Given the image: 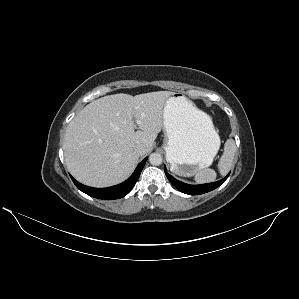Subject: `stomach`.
Here are the masks:
<instances>
[{"mask_svg":"<svg viewBox=\"0 0 299 299\" xmlns=\"http://www.w3.org/2000/svg\"><path fill=\"white\" fill-rule=\"evenodd\" d=\"M163 130L166 159L179 176L190 177L210 166L220 147L211 118L178 93L166 99Z\"/></svg>","mask_w":299,"mask_h":299,"instance_id":"stomach-1","label":"stomach"}]
</instances>
